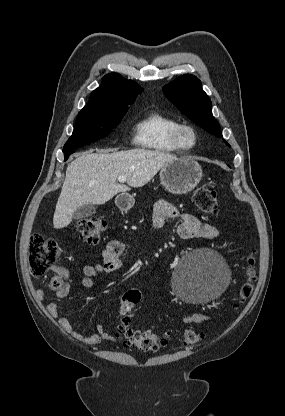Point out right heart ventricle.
<instances>
[{
    "instance_id": "obj_1",
    "label": "right heart ventricle",
    "mask_w": 285,
    "mask_h": 416,
    "mask_svg": "<svg viewBox=\"0 0 285 416\" xmlns=\"http://www.w3.org/2000/svg\"><path fill=\"white\" fill-rule=\"evenodd\" d=\"M178 124L179 121L173 116L151 110L136 124V143L153 152L176 153L179 149L172 136Z\"/></svg>"
}]
</instances>
